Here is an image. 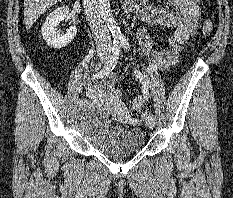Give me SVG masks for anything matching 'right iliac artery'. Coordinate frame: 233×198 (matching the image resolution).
<instances>
[{"mask_svg": "<svg viewBox=\"0 0 233 198\" xmlns=\"http://www.w3.org/2000/svg\"><path fill=\"white\" fill-rule=\"evenodd\" d=\"M121 52V44L114 43L113 48H112V55L110 56L109 60L105 63L103 68L93 76V79H100L109 74L116 66L117 61L119 59ZM78 106L83 105V100H79L77 102Z\"/></svg>", "mask_w": 233, "mask_h": 198, "instance_id": "82829eb1", "label": "right iliac artery"}]
</instances>
